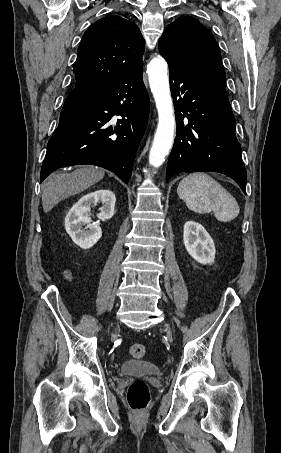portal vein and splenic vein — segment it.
<instances>
[{"label":"portal vein and splenic vein","instance_id":"18ae733b","mask_svg":"<svg viewBox=\"0 0 281 453\" xmlns=\"http://www.w3.org/2000/svg\"><path fill=\"white\" fill-rule=\"evenodd\" d=\"M206 214H209V215H215V212H209V211H206Z\"/></svg>","mask_w":281,"mask_h":453}]
</instances>
